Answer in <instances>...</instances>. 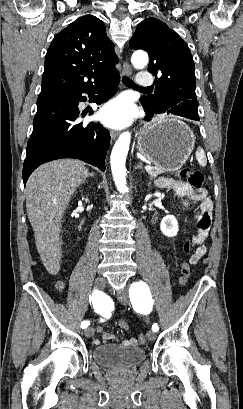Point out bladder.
I'll use <instances>...</instances> for the list:
<instances>
[{
	"instance_id": "bladder-1",
	"label": "bladder",
	"mask_w": 243,
	"mask_h": 409,
	"mask_svg": "<svg viewBox=\"0 0 243 409\" xmlns=\"http://www.w3.org/2000/svg\"><path fill=\"white\" fill-rule=\"evenodd\" d=\"M92 357L98 364L113 370L131 369L146 358V351L142 347H128L116 344L96 346Z\"/></svg>"
}]
</instances>
